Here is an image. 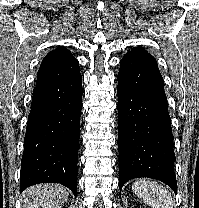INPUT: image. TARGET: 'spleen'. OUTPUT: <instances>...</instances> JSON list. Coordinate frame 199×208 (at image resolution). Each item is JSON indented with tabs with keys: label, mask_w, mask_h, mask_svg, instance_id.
Masks as SVG:
<instances>
[{
	"label": "spleen",
	"mask_w": 199,
	"mask_h": 208,
	"mask_svg": "<svg viewBox=\"0 0 199 208\" xmlns=\"http://www.w3.org/2000/svg\"><path fill=\"white\" fill-rule=\"evenodd\" d=\"M133 192L152 208H173V199L165 187L156 181L141 179L132 185Z\"/></svg>",
	"instance_id": "spleen-1"
}]
</instances>
